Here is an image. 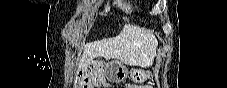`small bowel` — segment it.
<instances>
[{
  "label": "small bowel",
  "mask_w": 227,
  "mask_h": 88,
  "mask_svg": "<svg viewBox=\"0 0 227 88\" xmlns=\"http://www.w3.org/2000/svg\"><path fill=\"white\" fill-rule=\"evenodd\" d=\"M94 69H95L96 71H98V70H99V66H94Z\"/></svg>",
  "instance_id": "small-bowel-1"
}]
</instances>
